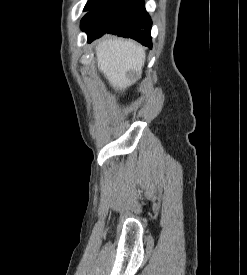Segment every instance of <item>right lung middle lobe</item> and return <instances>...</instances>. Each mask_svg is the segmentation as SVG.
<instances>
[{
    "label": "right lung middle lobe",
    "instance_id": "right-lung-middle-lobe-1",
    "mask_svg": "<svg viewBox=\"0 0 247 275\" xmlns=\"http://www.w3.org/2000/svg\"><path fill=\"white\" fill-rule=\"evenodd\" d=\"M107 0H88L84 11H90L94 8H96L97 6L103 4L104 2H106Z\"/></svg>",
    "mask_w": 247,
    "mask_h": 275
}]
</instances>
